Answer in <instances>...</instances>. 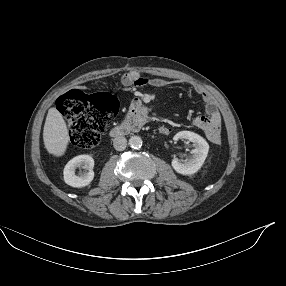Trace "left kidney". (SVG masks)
<instances>
[{"instance_id":"left-kidney-1","label":"left kidney","mask_w":286,"mask_h":286,"mask_svg":"<svg viewBox=\"0 0 286 286\" xmlns=\"http://www.w3.org/2000/svg\"><path fill=\"white\" fill-rule=\"evenodd\" d=\"M185 139L193 143L195 147L192 150V156L184 161L173 158L172 167L182 175H191L196 173L203 165L209 150L206 140L200 135L191 131H180L174 136V140Z\"/></svg>"}]
</instances>
